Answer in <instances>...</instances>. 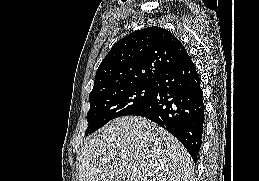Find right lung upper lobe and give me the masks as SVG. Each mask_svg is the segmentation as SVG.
<instances>
[{"mask_svg": "<svg viewBox=\"0 0 259 181\" xmlns=\"http://www.w3.org/2000/svg\"><path fill=\"white\" fill-rule=\"evenodd\" d=\"M187 57L185 47L168 30L158 26L138 30L111 48L97 70L90 95L113 88L154 83L163 72Z\"/></svg>", "mask_w": 259, "mask_h": 181, "instance_id": "cb5924a9", "label": "right lung upper lobe"}]
</instances>
